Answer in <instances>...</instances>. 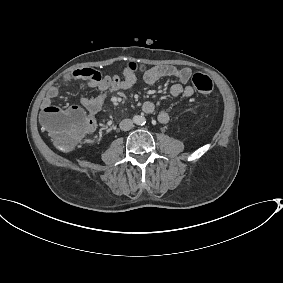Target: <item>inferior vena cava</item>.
<instances>
[{"mask_svg":"<svg viewBox=\"0 0 283 283\" xmlns=\"http://www.w3.org/2000/svg\"><path fill=\"white\" fill-rule=\"evenodd\" d=\"M119 126L122 131H128L132 128L133 121L131 119H124L120 122Z\"/></svg>","mask_w":283,"mask_h":283,"instance_id":"obj_1","label":"inferior vena cava"}]
</instances>
